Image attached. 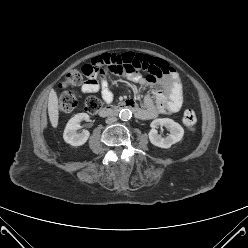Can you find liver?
<instances>
[{
    "mask_svg": "<svg viewBox=\"0 0 248 248\" xmlns=\"http://www.w3.org/2000/svg\"><path fill=\"white\" fill-rule=\"evenodd\" d=\"M48 115L52 127L56 128L58 125V118H59V105H58V97L54 90H52L49 94Z\"/></svg>",
    "mask_w": 248,
    "mask_h": 248,
    "instance_id": "6515ba94",
    "label": "liver"
}]
</instances>
